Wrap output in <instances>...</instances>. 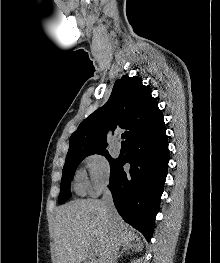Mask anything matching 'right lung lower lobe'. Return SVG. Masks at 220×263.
<instances>
[{
    "label": "right lung lower lobe",
    "instance_id": "obj_1",
    "mask_svg": "<svg viewBox=\"0 0 220 263\" xmlns=\"http://www.w3.org/2000/svg\"><path fill=\"white\" fill-rule=\"evenodd\" d=\"M128 153L111 166L110 190L121 217L149 242L167 175L169 151L166 128L127 142ZM131 165L125 172L123 165Z\"/></svg>",
    "mask_w": 220,
    "mask_h": 263
}]
</instances>
